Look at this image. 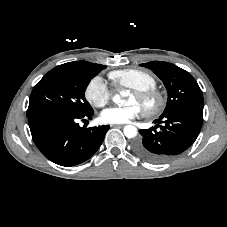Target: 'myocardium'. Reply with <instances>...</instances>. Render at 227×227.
<instances>
[{
    "mask_svg": "<svg viewBox=\"0 0 227 227\" xmlns=\"http://www.w3.org/2000/svg\"><path fill=\"white\" fill-rule=\"evenodd\" d=\"M132 94L140 103L143 113L148 117L160 114L165 108L166 97L156 88L148 90H133Z\"/></svg>",
    "mask_w": 227,
    "mask_h": 227,
    "instance_id": "1",
    "label": "myocardium"
}]
</instances>
